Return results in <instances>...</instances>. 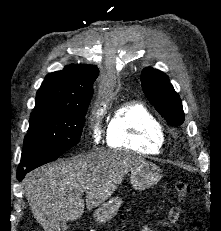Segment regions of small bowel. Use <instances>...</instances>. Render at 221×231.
Masks as SVG:
<instances>
[{"label":"small bowel","instance_id":"small-bowel-1","mask_svg":"<svg viewBox=\"0 0 221 231\" xmlns=\"http://www.w3.org/2000/svg\"><path fill=\"white\" fill-rule=\"evenodd\" d=\"M140 231H152V230L150 229V227L148 225L142 224Z\"/></svg>","mask_w":221,"mask_h":231}]
</instances>
